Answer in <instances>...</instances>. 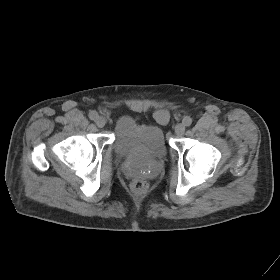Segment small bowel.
<instances>
[{
	"label": "small bowel",
	"mask_w": 280,
	"mask_h": 280,
	"mask_svg": "<svg viewBox=\"0 0 280 280\" xmlns=\"http://www.w3.org/2000/svg\"><path fill=\"white\" fill-rule=\"evenodd\" d=\"M161 116L162 117L166 116V113L165 112H161Z\"/></svg>",
	"instance_id": "obj_1"
}]
</instances>
